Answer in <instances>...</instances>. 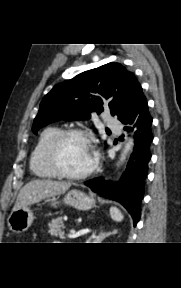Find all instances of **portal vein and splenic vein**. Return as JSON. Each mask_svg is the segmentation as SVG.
I'll list each match as a JSON object with an SVG mask.
<instances>
[{"label":"portal vein and splenic vein","instance_id":"obj_1","mask_svg":"<svg viewBox=\"0 0 181 288\" xmlns=\"http://www.w3.org/2000/svg\"><path fill=\"white\" fill-rule=\"evenodd\" d=\"M91 230L89 229H83V230H80L78 232H72L71 234L68 235L69 238H76V237H79L81 235H85L87 233H89Z\"/></svg>","mask_w":181,"mask_h":288}]
</instances>
